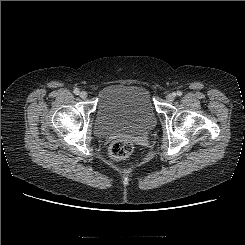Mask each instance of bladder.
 I'll list each match as a JSON object with an SVG mask.
<instances>
[{"instance_id":"1","label":"bladder","mask_w":245,"mask_h":245,"mask_svg":"<svg viewBox=\"0 0 245 245\" xmlns=\"http://www.w3.org/2000/svg\"><path fill=\"white\" fill-rule=\"evenodd\" d=\"M156 121L151 92L147 87L111 84L100 91L95 122L98 136L142 135L153 129Z\"/></svg>"}]
</instances>
